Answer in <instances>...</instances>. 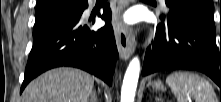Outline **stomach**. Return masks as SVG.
Segmentation results:
<instances>
[{"mask_svg":"<svg viewBox=\"0 0 221 102\" xmlns=\"http://www.w3.org/2000/svg\"><path fill=\"white\" fill-rule=\"evenodd\" d=\"M149 85L152 86V88L155 90H162L164 88L160 80L149 82Z\"/></svg>","mask_w":221,"mask_h":102,"instance_id":"1","label":"stomach"}]
</instances>
